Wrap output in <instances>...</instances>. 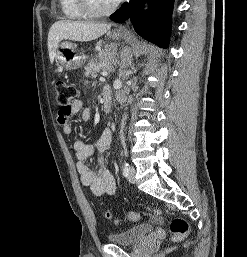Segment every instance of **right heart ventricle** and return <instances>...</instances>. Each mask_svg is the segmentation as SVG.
Masks as SVG:
<instances>
[{"mask_svg":"<svg viewBox=\"0 0 247 257\" xmlns=\"http://www.w3.org/2000/svg\"><path fill=\"white\" fill-rule=\"evenodd\" d=\"M62 15L68 20H78L85 17L80 10L77 0H59Z\"/></svg>","mask_w":247,"mask_h":257,"instance_id":"e07e8e85","label":"right heart ventricle"}]
</instances>
